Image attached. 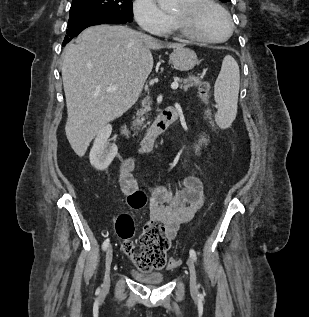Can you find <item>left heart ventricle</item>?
Wrapping results in <instances>:
<instances>
[{
    "instance_id": "obj_1",
    "label": "left heart ventricle",
    "mask_w": 309,
    "mask_h": 317,
    "mask_svg": "<svg viewBox=\"0 0 309 317\" xmlns=\"http://www.w3.org/2000/svg\"><path fill=\"white\" fill-rule=\"evenodd\" d=\"M183 12V5L174 13L180 15ZM189 26L197 33L212 37L221 38L228 32V25L224 16L214 8H206L200 13L188 19Z\"/></svg>"
}]
</instances>
